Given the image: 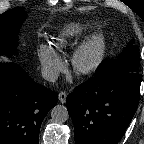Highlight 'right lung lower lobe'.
I'll list each match as a JSON object with an SVG mask.
<instances>
[{
    "label": "right lung lower lobe",
    "instance_id": "right-lung-lower-lobe-1",
    "mask_svg": "<svg viewBox=\"0 0 144 144\" xmlns=\"http://www.w3.org/2000/svg\"><path fill=\"white\" fill-rule=\"evenodd\" d=\"M58 95L16 63H0V144H39L40 126Z\"/></svg>",
    "mask_w": 144,
    "mask_h": 144
}]
</instances>
